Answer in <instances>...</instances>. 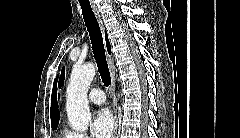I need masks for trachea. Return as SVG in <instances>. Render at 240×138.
<instances>
[{
  "instance_id": "trachea-1",
  "label": "trachea",
  "mask_w": 240,
  "mask_h": 138,
  "mask_svg": "<svg viewBox=\"0 0 240 138\" xmlns=\"http://www.w3.org/2000/svg\"><path fill=\"white\" fill-rule=\"evenodd\" d=\"M82 14L87 30L89 32L94 58L97 63L98 71L106 87L111 83V76L105 57L102 33L98 21L90 5L81 4Z\"/></svg>"
}]
</instances>
